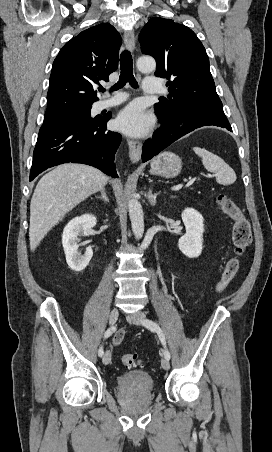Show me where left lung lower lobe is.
Segmentation results:
<instances>
[{
  "instance_id": "obj_1",
  "label": "left lung lower lobe",
  "mask_w": 272,
  "mask_h": 452,
  "mask_svg": "<svg viewBox=\"0 0 272 452\" xmlns=\"http://www.w3.org/2000/svg\"><path fill=\"white\" fill-rule=\"evenodd\" d=\"M163 122L162 127L157 130L152 139L145 142L142 151V161L146 162L172 144L177 139L203 126H219L232 131L225 115H211L198 117L196 120H179L159 116Z\"/></svg>"
}]
</instances>
